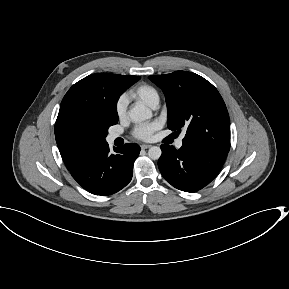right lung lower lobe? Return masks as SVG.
I'll return each mask as SVG.
<instances>
[{"label":"right lung lower lobe","instance_id":"98d812e1","mask_svg":"<svg viewBox=\"0 0 289 289\" xmlns=\"http://www.w3.org/2000/svg\"><path fill=\"white\" fill-rule=\"evenodd\" d=\"M99 147L85 156L74 168L69 169L72 177L88 192L95 195H110L124 188L132 179L133 164L140 153L134 143L114 148Z\"/></svg>","mask_w":289,"mask_h":289}]
</instances>
